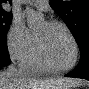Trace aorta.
<instances>
[{
  "label": "aorta",
  "mask_w": 89,
  "mask_h": 89,
  "mask_svg": "<svg viewBox=\"0 0 89 89\" xmlns=\"http://www.w3.org/2000/svg\"><path fill=\"white\" fill-rule=\"evenodd\" d=\"M27 24L30 28L36 26L43 20V15L36 12L30 7H26Z\"/></svg>",
  "instance_id": "aorta-1"
}]
</instances>
